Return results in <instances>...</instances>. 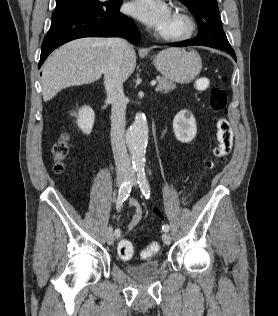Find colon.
Instances as JSON below:
<instances>
[{
    "label": "colon",
    "instance_id": "obj_1",
    "mask_svg": "<svg viewBox=\"0 0 278 316\" xmlns=\"http://www.w3.org/2000/svg\"><path fill=\"white\" fill-rule=\"evenodd\" d=\"M197 88L202 89L207 86V81L200 79L196 83ZM227 93L224 89L216 88L211 91L210 95V107L214 111H222L227 105ZM217 127V145L213 151V159L207 161L206 168L208 170L214 168V166L223 162L225 158L229 155L233 146V131L228 122L224 117H219L216 123ZM52 155L54 157V170L58 173L62 172L64 169V161L69 153L68 136L63 135L52 145ZM159 250V245L157 242H152L145 250L142 252V257L149 258L153 256ZM118 253L124 258L128 259L132 257L134 253V247L132 243L128 240H122L118 245Z\"/></svg>",
    "mask_w": 278,
    "mask_h": 316
}]
</instances>
